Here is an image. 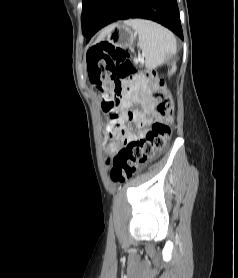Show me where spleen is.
Listing matches in <instances>:
<instances>
[{
	"label": "spleen",
	"instance_id": "1",
	"mask_svg": "<svg viewBox=\"0 0 238 278\" xmlns=\"http://www.w3.org/2000/svg\"><path fill=\"white\" fill-rule=\"evenodd\" d=\"M124 23L138 33L139 47L146 58L148 69L162 65L169 56L175 55L176 39L168 29L143 19H130Z\"/></svg>",
	"mask_w": 238,
	"mask_h": 278
}]
</instances>
